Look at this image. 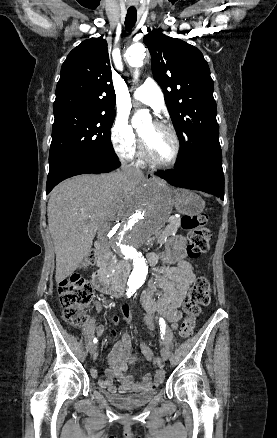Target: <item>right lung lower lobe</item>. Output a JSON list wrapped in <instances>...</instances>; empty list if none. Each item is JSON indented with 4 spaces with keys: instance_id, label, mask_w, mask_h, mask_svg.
<instances>
[{
    "instance_id": "obj_1",
    "label": "right lung lower lobe",
    "mask_w": 277,
    "mask_h": 438,
    "mask_svg": "<svg viewBox=\"0 0 277 438\" xmlns=\"http://www.w3.org/2000/svg\"><path fill=\"white\" fill-rule=\"evenodd\" d=\"M119 166L118 158L109 157H97L64 164L56 171L49 173L46 193L48 194L59 182L66 178L86 173H107Z\"/></svg>"
}]
</instances>
